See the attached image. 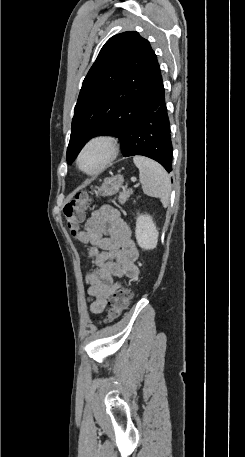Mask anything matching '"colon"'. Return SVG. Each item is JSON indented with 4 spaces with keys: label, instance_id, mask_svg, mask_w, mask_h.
<instances>
[{
    "label": "colon",
    "instance_id": "colon-1",
    "mask_svg": "<svg viewBox=\"0 0 245 457\" xmlns=\"http://www.w3.org/2000/svg\"><path fill=\"white\" fill-rule=\"evenodd\" d=\"M87 201L88 195L80 194L68 202L63 208L64 220L73 235L77 233L83 220ZM131 298L132 291L129 287L122 286L116 289L109 300V308L105 321L110 322L118 318L127 308Z\"/></svg>",
    "mask_w": 245,
    "mask_h": 457
}]
</instances>
